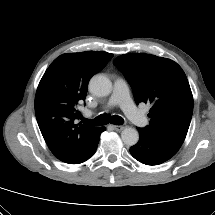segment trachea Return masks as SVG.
Listing matches in <instances>:
<instances>
[{"instance_id":"3493384b","label":"trachea","mask_w":215,"mask_h":215,"mask_svg":"<svg viewBox=\"0 0 215 215\" xmlns=\"http://www.w3.org/2000/svg\"><path fill=\"white\" fill-rule=\"evenodd\" d=\"M82 121L88 125L92 126H102L106 125L108 123L115 124V125H121L123 123V118L117 115L110 116L108 114H101L98 117H96L94 120H89L86 118H83Z\"/></svg>"}]
</instances>
